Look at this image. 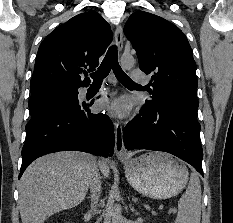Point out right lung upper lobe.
<instances>
[{"instance_id":"cb5924a9","label":"right lung upper lobe","mask_w":233,"mask_h":223,"mask_svg":"<svg viewBox=\"0 0 233 223\" xmlns=\"http://www.w3.org/2000/svg\"><path fill=\"white\" fill-rule=\"evenodd\" d=\"M112 38L109 24L95 11L79 14L57 27L38 49L31 93L88 86L89 78L81 80L79 74L95 70Z\"/></svg>"}]
</instances>
